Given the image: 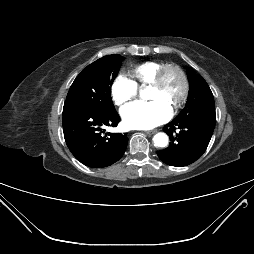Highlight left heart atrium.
Instances as JSON below:
<instances>
[{"label": "left heart atrium", "instance_id": "left-heart-atrium-1", "mask_svg": "<svg viewBox=\"0 0 254 254\" xmlns=\"http://www.w3.org/2000/svg\"><path fill=\"white\" fill-rule=\"evenodd\" d=\"M171 110L156 100L134 101L121 109L124 124L132 129H151L166 122Z\"/></svg>", "mask_w": 254, "mask_h": 254}]
</instances>
